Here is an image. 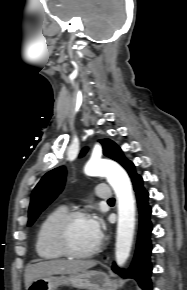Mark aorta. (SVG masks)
Wrapping results in <instances>:
<instances>
[{"label": "aorta", "mask_w": 187, "mask_h": 290, "mask_svg": "<svg viewBox=\"0 0 187 290\" xmlns=\"http://www.w3.org/2000/svg\"><path fill=\"white\" fill-rule=\"evenodd\" d=\"M84 171L88 176L106 177L116 194L118 224L115 259L119 266H123L130 255L135 229V199L130 179L118 164L107 160H90Z\"/></svg>", "instance_id": "762f6f07"}]
</instances>
